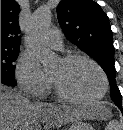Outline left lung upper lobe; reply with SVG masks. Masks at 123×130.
I'll return each mask as SVG.
<instances>
[{
    "label": "left lung upper lobe",
    "mask_w": 123,
    "mask_h": 130,
    "mask_svg": "<svg viewBox=\"0 0 123 130\" xmlns=\"http://www.w3.org/2000/svg\"><path fill=\"white\" fill-rule=\"evenodd\" d=\"M57 17L66 37L103 68L110 82V96L122 107L114 78L113 33L106 13L93 0H62Z\"/></svg>",
    "instance_id": "left-lung-upper-lobe-1"
}]
</instances>
